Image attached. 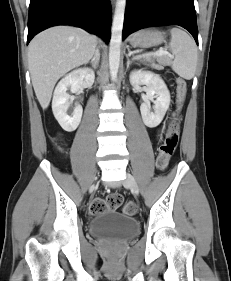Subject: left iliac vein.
<instances>
[{
    "instance_id": "1",
    "label": "left iliac vein",
    "mask_w": 231,
    "mask_h": 281,
    "mask_svg": "<svg viewBox=\"0 0 231 281\" xmlns=\"http://www.w3.org/2000/svg\"><path fill=\"white\" fill-rule=\"evenodd\" d=\"M123 184L125 187L129 188L135 195L139 194L138 184L135 178L130 173H126Z\"/></svg>"
}]
</instances>
